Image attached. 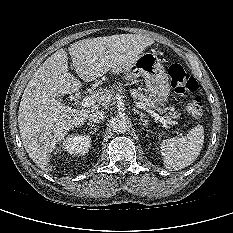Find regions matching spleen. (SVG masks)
<instances>
[{
  "label": "spleen",
  "instance_id": "1",
  "mask_svg": "<svg viewBox=\"0 0 233 233\" xmlns=\"http://www.w3.org/2000/svg\"><path fill=\"white\" fill-rule=\"evenodd\" d=\"M204 143V128L197 125L185 137L163 140L160 152L168 170H180L191 165L199 156Z\"/></svg>",
  "mask_w": 233,
  "mask_h": 233
}]
</instances>
